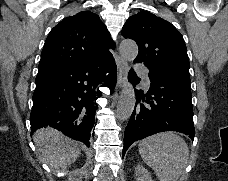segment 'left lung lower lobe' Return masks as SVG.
Returning a JSON list of instances; mask_svg holds the SVG:
<instances>
[{"mask_svg": "<svg viewBox=\"0 0 228 181\" xmlns=\"http://www.w3.org/2000/svg\"><path fill=\"white\" fill-rule=\"evenodd\" d=\"M144 65L149 69L150 86L135 91L136 104L125 129L123 156L133 142L159 132L178 131L192 140L195 136L190 77L162 66ZM129 79L134 86L140 81L133 70Z\"/></svg>", "mask_w": 228, "mask_h": 181, "instance_id": "0a47b994", "label": "left lung lower lobe"}]
</instances>
